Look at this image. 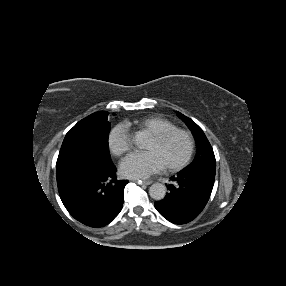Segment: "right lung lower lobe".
Here are the masks:
<instances>
[{
	"label": "right lung lower lobe",
	"mask_w": 286,
	"mask_h": 286,
	"mask_svg": "<svg viewBox=\"0 0 286 286\" xmlns=\"http://www.w3.org/2000/svg\"><path fill=\"white\" fill-rule=\"evenodd\" d=\"M116 167L95 159H77L57 166L60 198L68 212L90 227L110 223L123 206L128 181L117 180Z\"/></svg>",
	"instance_id": "right-lung-lower-lobe-1"
}]
</instances>
